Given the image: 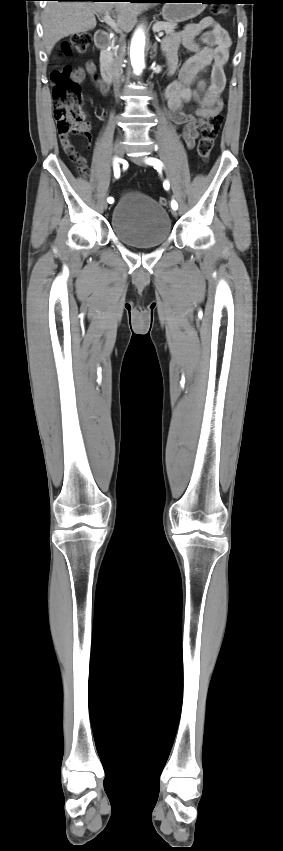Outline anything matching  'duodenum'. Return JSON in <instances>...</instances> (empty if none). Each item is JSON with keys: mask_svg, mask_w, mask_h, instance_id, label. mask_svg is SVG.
<instances>
[{"mask_svg": "<svg viewBox=\"0 0 283 851\" xmlns=\"http://www.w3.org/2000/svg\"><path fill=\"white\" fill-rule=\"evenodd\" d=\"M110 43V35L105 31H100L95 36V45L101 51H105ZM101 77L107 82V84L111 85L114 77L112 75V71L109 66H107L106 62L102 61L101 67Z\"/></svg>", "mask_w": 283, "mask_h": 851, "instance_id": "duodenum-1", "label": "duodenum"}]
</instances>
